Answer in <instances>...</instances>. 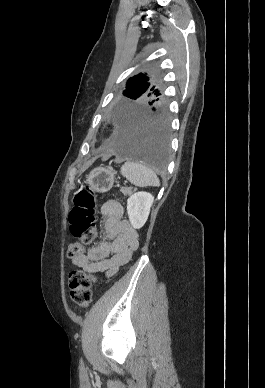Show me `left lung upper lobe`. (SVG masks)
Instances as JSON below:
<instances>
[{"label": "left lung upper lobe", "instance_id": "left-lung-upper-lobe-1", "mask_svg": "<svg viewBox=\"0 0 265 388\" xmlns=\"http://www.w3.org/2000/svg\"><path fill=\"white\" fill-rule=\"evenodd\" d=\"M149 79L141 73L135 75L127 81L126 89L123 95L127 100L118 106L120 108H150V107H164L166 98L154 85V81Z\"/></svg>", "mask_w": 265, "mask_h": 388}]
</instances>
